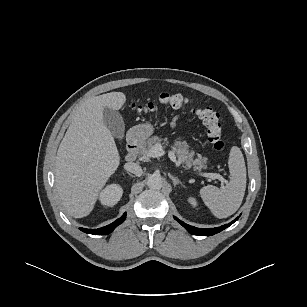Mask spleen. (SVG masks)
I'll use <instances>...</instances> for the list:
<instances>
[{
    "instance_id": "obj_1",
    "label": "spleen",
    "mask_w": 307,
    "mask_h": 307,
    "mask_svg": "<svg viewBox=\"0 0 307 307\" xmlns=\"http://www.w3.org/2000/svg\"><path fill=\"white\" fill-rule=\"evenodd\" d=\"M230 180L220 188L208 185L200 190L205 205L217 218H227L240 207L246 190V166L239 147L233 146L228 160Z\"/></svg>"
}]
</instances>
